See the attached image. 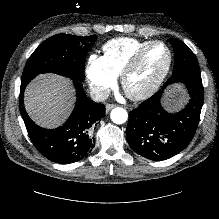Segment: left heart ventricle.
<instances>
[{"label": "left heart ventricle", "instance_id": "b2bd125f", "mask_svg": "<svg viewBox=\"0 0 219 219\" xmlns=\"http://www.w3.org/2000/svg\"><path fill=\"white\" fill-rule=\"evenodd\" d=\"M166 63L167 52L165 48L160 45L153 46L129 76L127 88L135 92L144 89L163 70Z\"/></svg>", "mask_w": 219, "mask_h": 219}]
</instances>
